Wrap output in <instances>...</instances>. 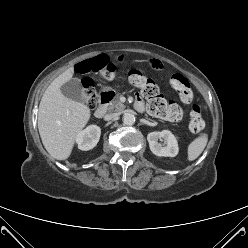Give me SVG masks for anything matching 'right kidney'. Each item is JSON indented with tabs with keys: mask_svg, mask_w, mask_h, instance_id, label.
Returning <instances> with one entry per match:
<instances>
[{
	"mask_svg": "<svg viewBox=\"0 0 248 248\" xmlns=\"http://www.w3.org/2000/svg\"><path fill=\"white\" fill-rule=\"evenodd\" d=\"M100 135L101 129L97 125L88 126L85 130L81 131L76 138L78 148L83 151L94 148L100 139Z\"/></svg>",
	"mask_w": 248,
	"mask_h": 248,
	"instance_id": "right-kidney-1",
	"label": "right kidney"
}]
</instances>
